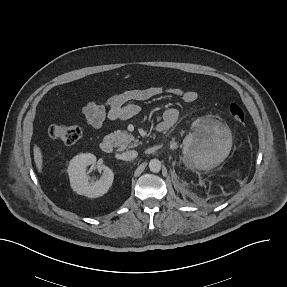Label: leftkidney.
Wrapping results in <instances>:
<instances>
[{
	"label": "left kidney",
	"mask_w": 287,
	"mask_h": 287,
	"mask_svg": "<svg viewBox=\"0 0 287 287\" xmlns=\"http://www.w3.org/2000/svg\"><path fill=\"white\" fill-rule=\"evenodd\" d=\"M204 134L188 135L184 140L183 154L190 165L210 169L219 165L232 147L230 130L219 124L203 125Z\"/></svg>",
	"instance_id": "left-kidney-1"
}]
</instances>
